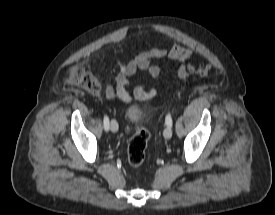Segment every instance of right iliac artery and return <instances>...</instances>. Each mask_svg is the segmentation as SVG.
I'll return each instance as SVG.
<instances>
[{"label": "right iliac artery", "instance_id": "82829eb1", "mask_svg": "<svg viewBox=\"0 0 275 215\" xmlns=\"http://www.w3.org/2000/svg\"><path fill=\"white\" fill-rule=\"evenodd\" d=\"M103 124H104V129L106 131H108L109 130V118L107 115L104 116Z\"/></svg>", "mask_w": 275, "mask_h": 215}]
</instances>
